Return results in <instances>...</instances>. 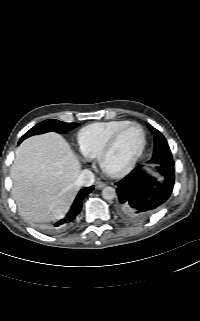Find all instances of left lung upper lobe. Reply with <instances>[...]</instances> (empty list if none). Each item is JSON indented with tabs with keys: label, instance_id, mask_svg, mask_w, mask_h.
<instances>
[{
	"label": "left lung upper lobe",
	"instance_id": "1",
	"mask_svg": "<svg viewBox=\"0 0 200 321\" xmlns=\"http://www.w3.org/2000/svg\"><path fill=\"white\" fill-rule=\"evenodd\" d=\"M151 131L154 134V152L152 160L160 161L171 155V151L164 136L155 128H151Z\"/></svg>",
	"mask_w": 200,
	"mask_h": 321
}]
</instances>
